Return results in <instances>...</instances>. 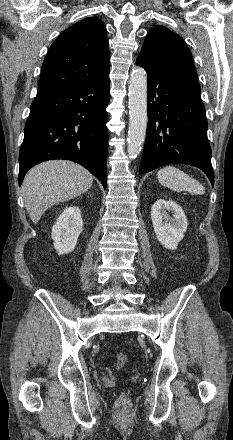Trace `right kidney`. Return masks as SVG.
I'll return each instance as SVG.
<instances>
[{
  "mask_svg": "<svg viewBox=\"0 0 233 440\" xmlns=\"http://www.w3.org/2000/svg\"><path fill=\"white\" fill-rule=\"evenodd\" d=\"M82 230L83 220L80 208L71 206L64 209L51 232L54 248L59 255L67 254L74 250Z\"/></svg>",
  "mask_w": 233,
  "mask_h": 440,
  "instance_id": "1",
  "label": "right kidney"
}]
</instances>
